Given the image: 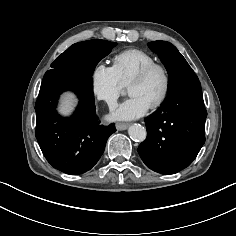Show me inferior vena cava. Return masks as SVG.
<instances>
[{
    "label": "inferior vena cava",
    "instance_id": "1",
    "mask_svg": "<svg viewBox=\"0 0 236 236\" xmlns=\"http://www.w3.org/2000/svg\"><path fill=\"white\" fill-rule=\"evenodd\" d=\"M117 103H115V102H112V103H109V109L111 110V111H113V110H115L116 108H117Z\"/></svg>",
    "mask_w": 236,
    "mask_h": 236
}]
</instances>
